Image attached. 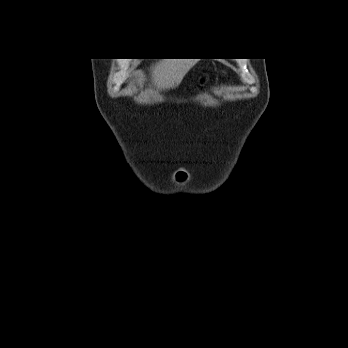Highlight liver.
Listing matches in <instances>:
<instances>
[{"label":"liver","mask_w":348,"mask_h":348,"mask_svg":"<svg viewBox=\"0 0 348 348\" xmlns=\"http://www.w3.org/2000/svg\"><path fill=\"white\" fill-rule=\"evenodd\" d=\"M196 59H162L152 68V81L160 89L177 87Z\"/></svg>","instance_id":"6515ba94"}]
</instances>
